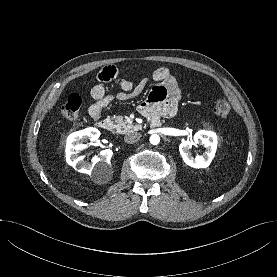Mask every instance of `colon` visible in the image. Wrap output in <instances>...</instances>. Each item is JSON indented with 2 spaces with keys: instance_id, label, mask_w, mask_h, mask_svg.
Masks as SVG:
<instances>
[{
  "instance_id": "5ec220e1",
  "label": "colon",
  "mask_w": 277,
  "mask_h": 277,
  "mask_svg": "<svg viewBox=\"0 0 277 277\" xmlns=\"http://www.w3.org/2000/svg\"><path fill=\"white\" fill-rule=\"evenodd\" d=\"M82 106V99L78 94H70L61 106V113L65 118L76 119ZM214 113L221 119L230 117L232 110L226 99L219 97L214 102Z\"/></svg>"
}]
</instances>
